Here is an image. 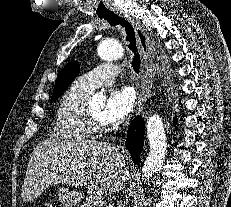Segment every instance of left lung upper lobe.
<instances>
[{"mask_svg": "<svg viewBox=\"0 0 231 207\" xmlns=\"http://www.w3.org/2000/svg\"><path fill=\"white\" fill-rule=\"evenodd\" d=\"M79 72L80 68L77 62H70L63 68L56 80L51 101H54L61 95Z\"/></svg>", "mask_w": 231, "mask_h": 207, "instance_id": "obj_1", "label": "left lung upper lobe"}]
</instances>
